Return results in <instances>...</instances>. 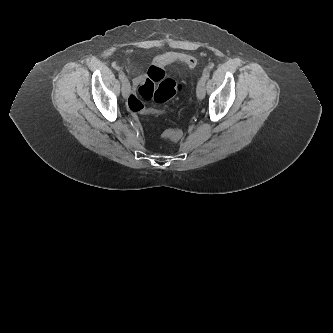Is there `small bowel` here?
<instances>
[{
  "mask_svg": "<svg viewBox=\"0 0 333 333\" xmlns=\"http://www.w3.org/2000/svg\"><path fill=\"white\" fill-rule=\"evenodd\" d=\"M174 62H181L189 67H194L196 65V59L188 54L166 52L156 56L154 58V64L149 65L146 69V78L144 76H138L134 79V84L136 86L140 84L143 85L147 79L155 81L158 84L165 83L168 79V73L162 67Z\"/></svg>",
  "mask_w": 333,
  "mask_h": 333,
  "instance_id": "1",
  "label": "small bowel"
}]
</instances>
